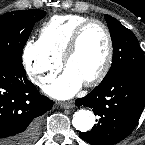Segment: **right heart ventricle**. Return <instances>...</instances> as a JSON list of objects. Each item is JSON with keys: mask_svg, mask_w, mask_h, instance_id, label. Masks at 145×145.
<instances>
[{"mask_svg": "<svg viewBox=\"0 0 145 145\" xmlns=\"http://www.w3.org/2000/svg\"><path fill=\"white\" fill-rule=\"evenodd\" d=\"M88 19L74 14L53 16L41 27L38 41L45 51L61 60L75 29Z\"/></svg>", "mask_w": 145, "mask_h": 145, "instance_id": "1", "label": "right heart ventricle"}]
</instances>
